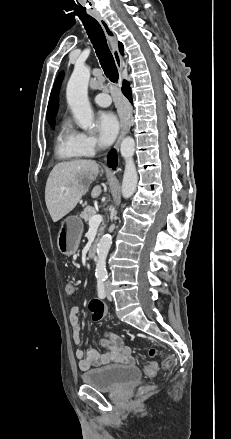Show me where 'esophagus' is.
Returning <instances> with one entry per match:
<instances>
[{
  "label": "esophagus",
  "instance_id": "esophagus-1",
  "mask_svg": "<svg viewBox=\"0 0 231 439\" xmlns=\"http://www.w3.org/2000/svg\"><path fill=\"white\" fill-rule=\"evenodd\" d=\"M93 16L96 18V20L99 22V24L101 25L105 35L107 36L108 40L113 44L112 47V53H113V57L116 63V66L118 68V70L121 72L123 69V58L119 52L118 46H117V42H116V37L115 34L113 32V30L111 29V27L109 26L108 22L99 14H93ZM130 130V122L129 120H125L122 124L121 127V131L119 134V137L115 143V149L118 150L120 143L122 141V139L124 138V136L129 132Z\"/></svg>",
  "mask_w": 231,
  "mask_h": 439
}]
</instances>
